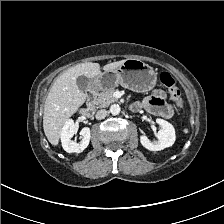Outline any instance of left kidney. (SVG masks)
Returning <instances> with one entry per match:
<instances>
[{"label":"left kidney","mask_w":224,"mask_h":224,"mask_svg":"<svg viewBox=\"0 0 224 224\" xmlns=\"http://www.w3.org/2000/svg\"><path fill=\"white\" fill-rule=\"evenodd\" d=\"M156 122L161 127L157 133L158 141L151 142L146 135L140 136L142 146L150 151H160L170 147L176 139L175 129L172 124L160 118L156 119Z\"/></svg>","instance_id":"1"}]
</instances>
